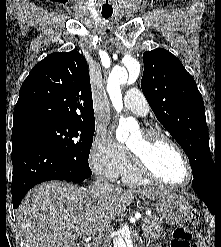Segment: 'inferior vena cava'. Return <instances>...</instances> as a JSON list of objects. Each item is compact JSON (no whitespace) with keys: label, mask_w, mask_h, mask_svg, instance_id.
Listing matches in <instances>:
<instances>
[{"label":"inferior vena cava","mask_w":221,"mask_h":247,"mask_svg":"<svg viewBox=\"0 0 221 247\" xmlns=\"http://www.w3.org/2000/svg\"><path fill=\"white\" fill-rule=\"evenodd\" d=\"M93 188L100 191L102 195L108 193L109 191L113 190L114 186L110 185L106 180H104L102 177L98 176L96 181L94 182ZM107 237H102L100 239V245L101 247H110Z\"/></svg>","instance_id":"inferior-vena-cava-1"}]
</instances>
